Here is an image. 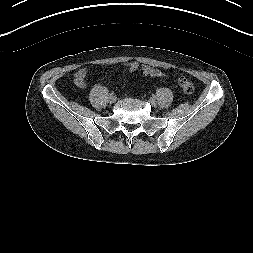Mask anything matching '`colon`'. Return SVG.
I'll use <instances>...</instances> for the list:
<instances>
[{
  "label": "colon",
  "mask_w": 253,
  "mask_h": 253,
  "mask_svg": "<svg viewBox=\"0 0 253 253\" xmlns=\"http://www.w3.org/2000/svg\"><path fill=\"white\" fill-rule=\"evenodd\" d=\"M178 84H179V86L181 87V89L183 90L184 93H186V94H192L194 92V85L187 78L180 77L178 79Z\"/></svg>",
  "instance_id": "5ec220e1"
}]
</instances>
